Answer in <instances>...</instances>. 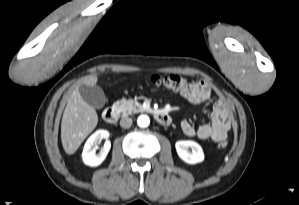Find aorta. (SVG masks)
<instances>
[{"instance_id": "aorta-1", "label": "aorta", "mask_w": 299, "mask_h": 205, "mask_svg": "<svg viewBox=\"0 0 299 205\" xmlns=\"http://www.w3.org/2000/svg\"><path fill=\"white\" fill-rule=\"evenodd\" d=\"M137 123L140 127H147L150 124V119L147 115H140L137 119Z\"/></svg>"}]
</instances>
